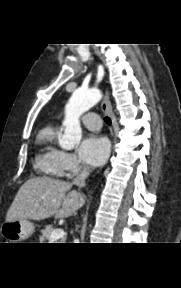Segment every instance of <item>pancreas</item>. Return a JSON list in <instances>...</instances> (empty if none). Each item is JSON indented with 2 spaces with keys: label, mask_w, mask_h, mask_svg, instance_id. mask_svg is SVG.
<instances>
[{
  "label": "pancreas",
  "mask_w": 181,
  "mask_h": 288,
  "mask_svg": "<svg viewBox=\"0 0 181 288\" xmlns=\"http://www.w3.org/2000/svg\"><path fill=\"white\" fill-rule=\"evenodd\" d=\"M55 230L53 225H46L44 229L41 230V235L39 236V240L41 243L50 239L51 233Z\"/></svg>",
  "instance_id": "pancreas-1"
}]
</instances>
